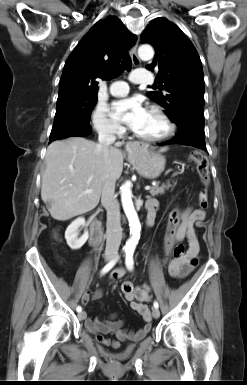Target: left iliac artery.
Instances as JSON below:
<instances>
[{"mask_svg":"<svg viewBox=\"0 0 247 385\" xmlns=\"http://www.w3.org/2000/svg\"><path fill=\"white\" fill-rule=\"evenodd\" d=\"M125 264H126L127 268H128L130 271L133 269V266H134L133 251H127V252H126ZM153 306H154L155 308H158V307H159L158 302H157V301H154Z\"/></svg>","mask_w":247,"mask_h":385,"instance_id":"44dca946","label":"left iliac artery"}]
</instances>
